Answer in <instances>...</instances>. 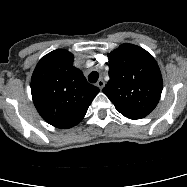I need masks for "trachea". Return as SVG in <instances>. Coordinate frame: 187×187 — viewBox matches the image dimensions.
Returning a JSON list of instances; mask_svg holds the SVG:
<instances>
[{
	"mask_svg": "<svg viewBox=\"0 0 187 187\" xmlns=\"http://www.w3.org/2000/svg\"><path fill=\"white\" fill-rule=\"evenodd\" d=\"M99 78V74L96 71H93L88 76V81L90 83H96Z\"/></svg>",
	"mask_w": 187,
	"mask_h": 187,
	"instance_id": "obj_1",
	"label": "trachea"
}]
</instances>
